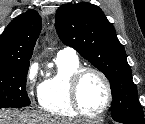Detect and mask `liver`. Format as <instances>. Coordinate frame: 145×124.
Masks as SVG:
<instances>
[{"mask_svg":"<svg viewBox=\"0 0 145 124\" xmlns=\"http://www.w3.org/2000/svg\"><path fill=\"white\" fill-rule=\"evenodd\" d=\"M0 124H78V122L42 113L0 110Z\"/></svg>","mask_w":145,"mask_h":124,"instance_id":"liver-1","label":"liver"}]
</instances>
